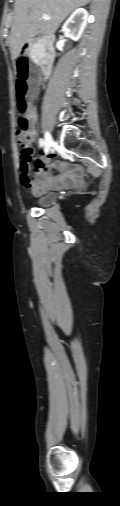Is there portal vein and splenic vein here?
Masks as SVG:
<instances>
[{
	"label": "portal vein and splenic vein",
	"mask_w": 120,
	"mask_h": 506,
	"mask_svg": "<svg viewBox=\"0 0 120 506\" xmlns=\"http://www.w3.org/2000/svg\"><path fill=\"white\" fill-rule=\"evenodd\" d=\"M42 19L43 20H50L51 18L48 15L44 14V15H42Z\"/></svg>",
	"instance_id": "1"
}]
</instances>
